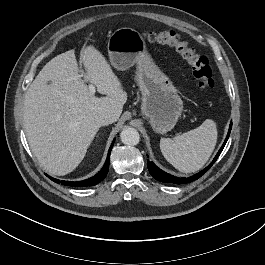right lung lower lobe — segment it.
<instances>
[{
	"label": "right lung lower lobe",
	"mask_w": 265,
	"mask_h": 265,
	"mask_svg": "<svg viewBox=\"0 0 265 265\" xmlns=\"http://www.w3.org/2000/svg\"><path fill=\"white\" fill-rule=\"evenodd\" d=\"M114 141L111 144V147L109 149L108 155H107V159L106 162L103 166V168L96 174L94 175L92 178L83 180V181H60L58 179H54L50 176H48L52 181L56 182V183H61L63 185L66 186H74V187H88V186H93L96 185L98 183H100L107 175L108 170H109V160H110V153H111V149L113 147Z\"/></svg>",
	"instance_id": "obj_1"
}]
</instances>
